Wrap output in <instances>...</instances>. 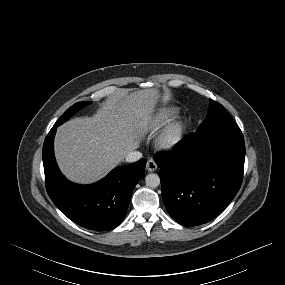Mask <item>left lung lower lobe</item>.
I'll use <instances>...</instances> for the list:
<instances>
[{
    "mask_svg": "<svg viewBox=\"0 0 285 285\" xmlns=\"http://www.w3.org/2000/svg\"><path fill=\"white\" fill-rule=\"evenodd\" d=\"M162 198L169 215L185 226L209 222L240 189L245 160L242 133L186 136L169 154H157Z\"/></svg>",
    "mask_w": 285,
    "mask_h": 285,
    "instance_id": "left-lung-lower-lobe-1",
    "label": "left lung lower lobe"
}]
</instances>
